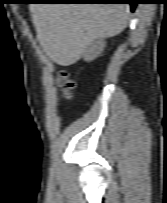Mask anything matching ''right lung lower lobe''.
Here are the masks:
<instances>
[{
	"mask_svg": "<svg viewBox=\"0 0 167 203\" xmlns=\"http://www.w3.org/2000/svg\"><path fill=\"white\" fill-rule=\"evenodd\" d=\"M80 3H128L131 5V11L135 10L136 0H82Z\"/></svg>",
	"mask_w": 167,
	"mask_h": 203,
	"instance_id": "1",
	"label": "right lung lower lobe"
}]
</instances>
